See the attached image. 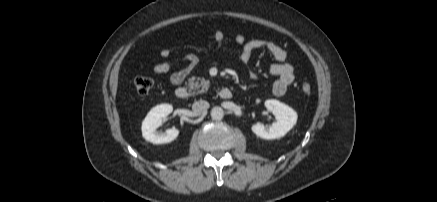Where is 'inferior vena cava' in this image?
<instances>
[{"mask_svg": "<svg viewBox=\"0 0 437 202\" xmlns=\"http://www.w3.org/2000/svg\"><path fill=\"white\" fill-rule=\"evenodd\" d=\"M209 108V103L204 100H200L197 102H194L192 105V110L196 115H201L205 113Z\"/></svg>", "mask_w": 437, "mask_h": 202, "instance_id": "602c4592", "label": "inferior vena cava"}]
</instances>
